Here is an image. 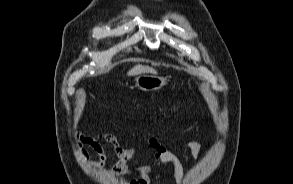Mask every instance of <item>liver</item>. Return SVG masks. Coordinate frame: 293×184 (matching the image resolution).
<instances>
[{
	"label": "liver",
	"instance_id": "obj_1",
	"mask_svg": "<svg viewBox=\"0 0 293 184\" xmlns=\"http://www.w3.org/2000/svg\"><path fill=\"white\" fill-rule=\"evenodd\" d=\"M143 73H152V74H156V70L149 67V66H144V65H136L134 66L129 72L128 75L129 76H135V75H140Z\"/></svg>",
	"mask_w": 293,
	"mask_h": 184
}]
</instances>
